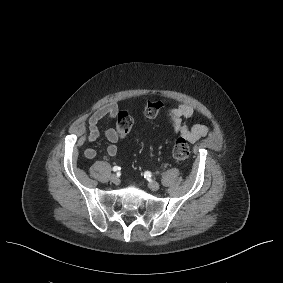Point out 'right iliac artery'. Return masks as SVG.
<instances>
[{
  "instance_id": "obj_1",
  "label": "right iliac artery",
  "mask_w": 283,
  "mask_h": 283,
  "mask_svg": "<svg viewBox=\"0 0 283 283\" xmlns=\"http://www.w3.org/2000/svg\"><path fill=\"white\" fill-rule=\"evenodd\" d=\"M120 169H121V168H120V167H118V166H114V167H113V171H114V172H116V171H120Z\"/></svg>"
}]
</instances>
